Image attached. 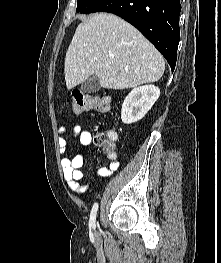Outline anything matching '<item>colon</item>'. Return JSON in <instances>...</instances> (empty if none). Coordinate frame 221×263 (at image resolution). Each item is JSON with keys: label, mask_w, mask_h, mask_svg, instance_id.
<instances>
[{"label": "colon", "mask_w": 221, "mask_h": 263, "mask_svg": "<svg viewBox=\"0 0 221 263\" xmlns=\"http://www.w3.org/2000/svg\"><path fill=\"white\" fill-rule=\"evenodd\" d=\"M109 105V96L92 97L82 93L72 95V112L74 115H79L90 110L107 111L109 109ZM97 139L103 141L106 144L107 149L111 150L110 142L105 139L103 135L98 134Z\"/></svg>", "instance_id": "1"}]
</instances>
